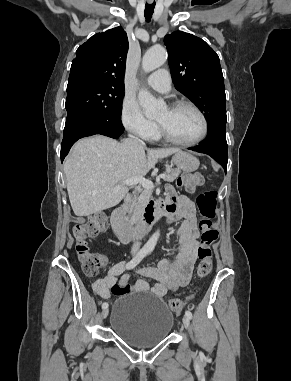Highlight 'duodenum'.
I'll list each match as a JSON object with an SVG mask.
<instances>
[{"label": "duodenum", "mask_w": 291, "mask_h": 381, "mask_svg": "<svg viewBox=\"0 0 291 381\" xmlns=\"http://www.w3.org/2000/svg\"><path fill=\"white\" fill-rule=\"evenodd\" d=\"M131 203L132 196L126 195L123 203L115 208L111 215L113 230L122 243L141 240L151 229L152 225L166 212L164 202L161 203L158 200L151 201L145 208L140 222L132 226L125 220V212Z\"/></svg>", "instance_id": "duodenum-1"}]
</instances>
